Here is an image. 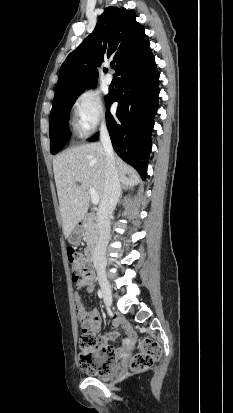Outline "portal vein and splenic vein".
Returning <instances> with one entry per match:
<instances>
[{
	"label": "portal vein and splenic vein",
	"instance_id": "obj_1",
	"mask_svg": "<svg viewBox=\"0 0 233 413\" xmlns=\"http://www.w3.org/2000/svg\"><path fill=\"white\" fill-rule=\"evenodd\" d=\"M89 193H90V196H91L92 204H98L100 198H99V195L97 194V192L95 191V189L90 187Z\"/></svg>",
	"mask_w": 233,
	"mask_h": 413
}]
</instances>
